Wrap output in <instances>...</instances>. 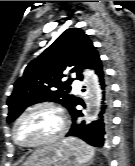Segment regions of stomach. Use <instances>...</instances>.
I'll return each mask as SVG.
<instances>
[{
    "mask_svg": "<svg viewBox=\"0 0 135 166\" xmlns=\"http://www.w3.org/2000/svg\"><path fill=\"white\" fill-rule=\"evenodd\" d=\"M23 166H77L75 154L63 141L35 151Z\"/></svg>",
    "mask_w": 135,
    "mask_h": 166,
    "instance_id": "stomach-1",
    "label": "stomach"
}]
</instances>
